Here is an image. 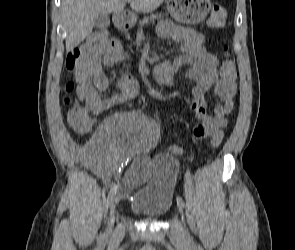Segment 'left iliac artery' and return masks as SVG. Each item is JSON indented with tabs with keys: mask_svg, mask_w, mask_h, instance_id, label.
Wrapping results in <instances>:
<instances>
[{
	"mask_svg": "<svg viewBox=\"0 0 295 250\" xmlns=\"http://www.w3.org/2000/svg\"><path fill=\"white\" fill-rule=\"evenodd\" d=\"M177 203L180 204L182 207H184L185 205L184 200L180 196H177Z\"/></svg>",
	"mask_w": 295,
	"mask_h": 250,
	"instance_id": "1",
	"label": "left iliac artery"
}]
</instances>
